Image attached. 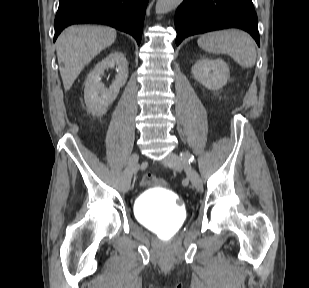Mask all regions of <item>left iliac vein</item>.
<instances>
[{
  "label": "left iliac vein",
  "instance_id": "1",
  "mask_svg": "<svg viewBox=\"0 0 309 288\" xmlns=\"http://www.w3.org/2000/svg\"><path fill=\"white\" fill-rule=\"evenodd\" d=\"M163 164L176 171L185 169L192 186L198 191L202 190L203 185L199 173L191 165L185 163L180 156L175 153H170L163 160Z\"/></svg>",
  "mask_w": 309,
  "mask_h": 288
}]
</instances>
